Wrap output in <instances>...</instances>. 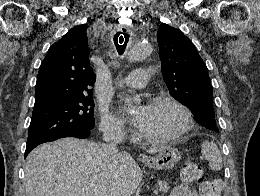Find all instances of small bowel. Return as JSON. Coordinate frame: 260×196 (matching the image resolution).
I'll list each match as a JSON object with an SVG mask.
<instances>
[{
    "label": "small bowel",
    "instance_id": "obj_1",
    "mask_svg": "<svg viewBox=\"0 0 260 196\" xmlns=\"http://www.w3.org/2000/svg\"><path fill=\"white\" fill-rule=\"evenodd\" d=\"M171 196H198V192L193 187L179 184L171 192Z\"/></svg>",
    "mask_w": 260,
    "mask_h": 196
}]
</instances>
